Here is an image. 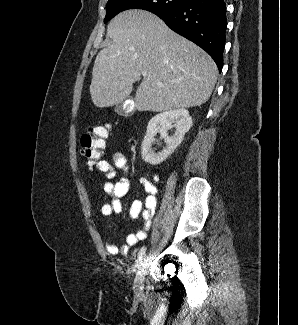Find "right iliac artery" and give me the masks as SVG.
Segmentation results:
<instances>
[{"mask_svg": "<svg viewBox=\"0 0 298 325\" xmlns=\"http://www.w3.org/2000/svg\"><path fill=\"white\" fill-rule=\"evenodd\" d=\"M145 251H146V247L143 246V247L140 249L139 253H138V258H137V264H136V266H139V264H140V262H141V260H142V258H143V255L145 254Z\"/></svg>", "mask_w": 298, "mask_h": 325, "instance_id": "82829eb1", "label": "right iliac artery"}]
</instances>
